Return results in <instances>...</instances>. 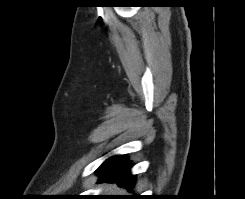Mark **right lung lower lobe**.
Segmentation results:
<instances>
[{
	"label": "right lung lower lobe",
	"mask_w": 245,
	"mask_h": 199,
	"mask_svg": "<svg viewBox=\"0 0 245 199\" xmlns=\"http://www.w3.org/2000/svg\"><path fill=\"white\" fill-rule=\"evenodd\" d=\"M131 167L124 155L111 157L96 170V174L100 175L98 182H117L120 186L131 188L135 180L129 171Z\"/></svg>",
	"instance_id": "obj_1"
}]
</instances>
